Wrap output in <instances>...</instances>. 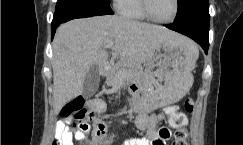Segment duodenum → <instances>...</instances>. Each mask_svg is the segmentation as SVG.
Listing matches in <instances>:
<instances>
[{
	"label": "duodenum",
	"mask_w": 243,
	"mask_h": 145,
	"mask_svg": "<svg viewBox=\"0 0 243 145\" xmlns=\"http://www.w3.org/2000/svg\"><path fill=\"white\" fill-rule=\"evenodd\" d=\"M99 72H100V75H102V76L108 75V73H109V66L108 65H102L100 67Z\"/></svg>",
	"instance_id": "duodenum-1"
}]
</instances>
